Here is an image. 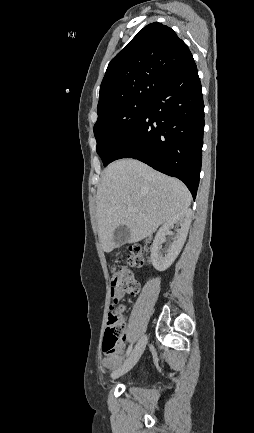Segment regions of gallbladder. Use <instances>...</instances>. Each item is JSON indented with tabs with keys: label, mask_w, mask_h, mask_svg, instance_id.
Segmentation results:
<instances>
[{
	"label": "gallbladder",
	"mask_w": 254,
	"mask_h": 433,
	"mask_svg": "<svg viewBox=\"0 0 254 433\" xmlns=\"http://www.w3.org/2000/svg\"><path fill=\"white\" fill-rule=\"evenodd\" d=\"M131 236L130 229L125 225H120L114 230V242L116 244V248L123 246L129 241Z\"/></svg>",
	"instance_id": "gallbladder-1"
}]
</instances>
